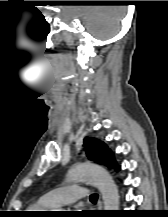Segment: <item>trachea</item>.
Wrapping results in <instances>:
<instances>
[{"label":"trachea","mask_w":168,"mask_h":217,"mask_svg":"<svg viewBox=\"0 0 168 217\" xmlns=\"http://www.w3.org/2000/svg\"><path fill=\"white\" fill-rule=\"evenodd\" d=\"M98 199V194H92L90 195V201L95 202Z\"/></svg>","instance_id":"trachea-1"}]
</instances>
